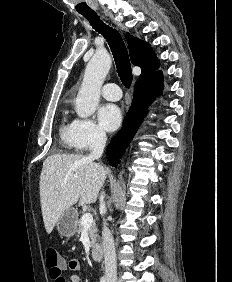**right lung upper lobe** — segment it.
I'll return each instance as SVG.
<instances>
[{
    "instance_id": "cb5924a9",
    "label": "right lung upper lobe",
    "mask_w": 232,
    "mask_h": 282,
    "mask_svg": "<svg viewBox=\"0 0 232 282\" xmlns=\"http://www.w3.org/2000/svg\"><path fill=\"white\" fill-rule=\"evenodd\" d=\"M126 40L131 62L141 68V76L154 73L158 69L159 63L150 45L129 33L126 34Z\"/></svg>"
}]
</instances>
